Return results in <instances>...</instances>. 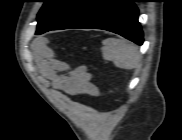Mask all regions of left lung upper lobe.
Wrapping results in <instances>:
<instances>
[{
    "label": "left lung upper lobe",
    "instance_id": "obj_1",
    "mask_svg": "<svg viewBox=\"0 0 182 140\" xmlns=\"http://www.w3.org/2000/svg\"><path fill=\"white\" fill-rule=\"evenodd\" d=\"M105 0H44L37 15L36 34L67 29L88 15Z\"/></svg>",
    "mask_w": 182,
    "mask_h": 140
}]
</instances>
